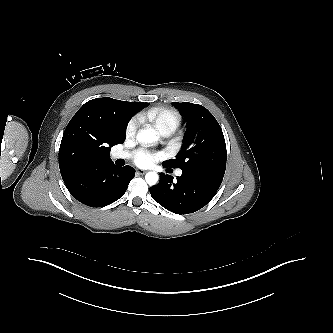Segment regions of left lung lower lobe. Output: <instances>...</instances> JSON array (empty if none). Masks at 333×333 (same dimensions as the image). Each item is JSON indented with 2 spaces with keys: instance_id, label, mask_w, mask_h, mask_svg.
Here are the masks:
<instances>
[{
  "instance_id": "left-lung-lower-lobe-1",
  "label": "left lung lower lobe",
  "mask_w": 333,
  "mask_h": 333,
  "mask_svg": "<svg viewBox=\"0 0 333 333\" xmlns=\"http://www.w3.org/2000/svg\"><path fill=\"white\" fill-rule=\"evenodd\" d=\"M223 176L211 172H182L174 182L169 175L160 173V182L150 188V194L165 209L176 214H189L212 200Z\"/></svg>"
}]
</instances>
